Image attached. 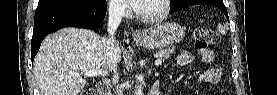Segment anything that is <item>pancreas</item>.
I'll return each instance as SVG.
<instances>
[{
	"label": "pancreas",
	"instance_id": "obj_1",
	"mask_svg": "<svg viewBox=\"0 0 277 95\" xmlns=\"http://www.w3.org/2000/svg\"><path fill=\"white\" fill-rule=\"evenodd\" d=\"M174 48H166V49H162L159 52H157V56L158 58H160L161 60L167 59L170 57V55L174 52Z\"/></svg>",
	"mask_w": 277,
	"mask_h": 95
}]
</instances>
